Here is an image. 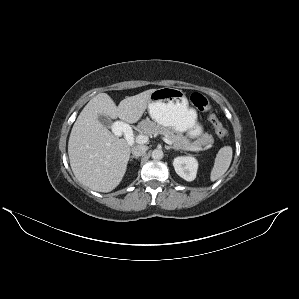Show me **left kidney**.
Wrapping results in <instances>:
<instances>
[{
  "label": "left kidney",
  "instance_id": "1",
  "mask_svg": "<svg viewBox=\"0 0 299 299\" xmlns=\"http://www.w3.org/2000/svg\"><path fill=\"white\" fill-rule=\"evenodd\" d=\"M176 173L186 181H193L197 175L198 161L192 156H179L173 161Z\"/></svg>",
  "mask_w": 299,
  "mask_h": 299
}]
</instances>
